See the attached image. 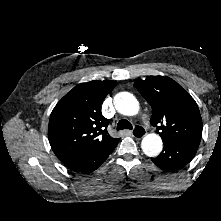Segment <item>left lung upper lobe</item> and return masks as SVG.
Masks as SVG:
<instances>
[{
  "label": "left lung upper lobe",
  "instance_id": "obj_1",
  "mask_svg": "<svg viewBox=\"0 0 221 221\" xmlns=\"http://www.w3.org/2000/svg\"><path fill=\"white\" fill-rule=\"evenodd\" d=\"M134 86L152 108L150 123L164 143L201 139L202 119L195 100L177 82L166 76H149Z\"/></svg>",
  "mask_w": 221,
  "mask_h": 221
}]
</instances>
